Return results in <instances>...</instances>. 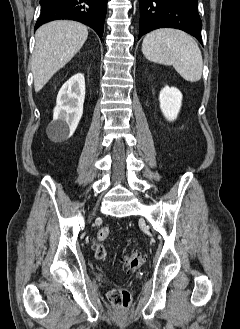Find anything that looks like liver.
I'll return each mask as SVG.
<instances>
[{
  "mask_svg": "<svg viewBox=\"0 0 240 329\" xmlns=\"http://www.w3.org/2000/svg\"><path fill=\"white\" fill-rule=\"evenodd\" d=\"M35 37L31 67L34 88L39 92L81 49L88 37V29L75 21L58 20L42 25Z\"/></svg>",
  "mask_w": 240,
  "mask_h": 329,
  "instance_id": "obj_1",
  "label": "liver"
}]
</instances>
